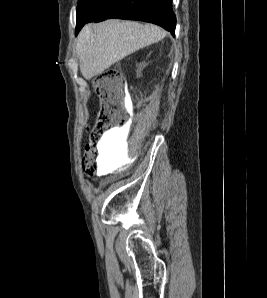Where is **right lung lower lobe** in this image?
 <instances>
[{"label":"right lung lower lobe","instance_id":"98d812e1","mask_svg":"<svg viewBox=\"0 0 267 298\" xmlns=\"http://www.w3.org/2000/svg\"><path fill=\"white\" fill-rule=\"evenodd\" d=\"M110 18L154 23L175 35L176 17L172 0H103L86 21L76 25V35L85 23Z\"/></svg>","mask_w":267,"mask_h":298}]
</instances>
